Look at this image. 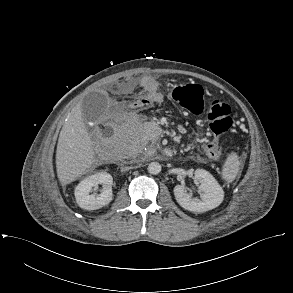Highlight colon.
Here are the masks:
<instances>
[{
	"label": "colon",
	"mask_w": 293,
	"mask_h": 293,
	"mask_svg": "<svg viewBox=\"0 0 293 293\" xmlns=\"http://www.w3.org/2000/svg\"><path fill=\"white\" fill-rule=\"evenodd\" d=\"M171 97L176 104L194 115H201L206 110L204 91L198 84L177 86L173 89ZM151 102L148 96L140 97L131 102L129 107H145ZM207 119L211 137L204 141L203 149L210 158L219 160L224 156V151L218 145L219 137L233 124L230 106L217 100L211 102L207 108ZM110 133L109 130L105 131L106 135Z\"/></svg>",
	"instance_id": "colon-1"
}]
</instances>
